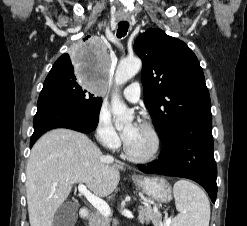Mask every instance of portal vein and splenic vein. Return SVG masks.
I'll use <instances>...</instances> for the list:
<instances>
[{"label":"portal vein and splenic vein","instance_id":"18ae733b","mask_svg":"<svg viewBox=\"0 0 247 226\" xmlns=\"http://www.w3.org/2000/svg\"><path fill=\"white\" fill-rule=\"evenodd\" d=\"M78 191L104 216H110L111 210L109 205L100 199L99 197L95 196L93 193H91L87 187L83 184H80L78 186ZM146 206H148L146 203H144ZM172 218L169 217L165 221V225L169 226L171 223Z\"/></svg>","mask_w":247,"mask_h":226}]
</instances>
